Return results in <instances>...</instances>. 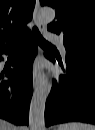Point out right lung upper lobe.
Segmentation results:
<instances>
[{"mask_svg": "<svg viewBox=\"0 0 95 130\" xmlns=\"http://www.w3.org/2000/svg\"><path fill=\"white\" fill-rule=\"evenodd\" d=\"M35 0H0V50L10 47L30 33Z\"/></svg>", "mask_w": 95, "mask_h": 130, "instance_id": "cb5924a9", "label": "right lung upper lobe"}]
</instances>
